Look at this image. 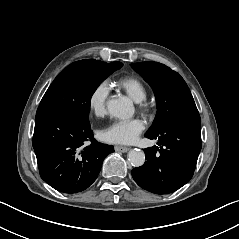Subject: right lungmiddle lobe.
Segmentation results:
<instances>
[{
	"instance_id": "1",
	"label": "right lung middle lobe",
	"mask_w": 239,
	"mask_h": 239,
	"mask_svg": "<svg viewBox=\"0 0 239 239\" xmlns=\"http://www.w3.org/2000/svg\"><path fill=\"white\" fill-rule=\"evenodd\" d=\"M122 64L85 59L67 66L43 96L36 115L51 110H69L89 120L90 101L97 87Z\"/></svg>"
}]
</instances>
